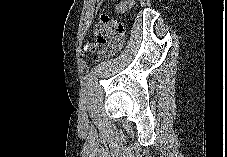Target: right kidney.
Returning <instances> with one entry per match:
<instances>
[{
	"mask_svg": "<svg viewBox=\"0 0 227 157\" xmlns=\"http://www.w3.org/2000/svg\"><path fill=\"white\" fill-rule=\"evenodd\" d=\"M128 2H130V1H128ZM117 9H118V8H117ZM122 10H124V7L120 6V11H122Z\"/></svg>",
	"mask_w": 227,
	"mask_h": 157,
	"instance_id": "obj_1",
	"label": "right kidney"
}]
</instances>
